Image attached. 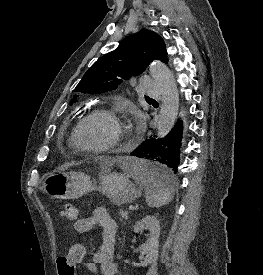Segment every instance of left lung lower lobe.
I'll return each mask as SVG.
<instances>
[{"mask_svg": "<svg viewBox=\"0 0 263 275\" xmlns=\"http://www.w3.org/2000/svg\"><path fill=\"white\" fill-rule=\"evenodd\" d=\"M182 135L183 122L178 120L167 136L161 139H145L130 155L154 162L157 166L150 165V175L169 181L177 173L180 164Z\"/></svg>", "mask_w": 263, "mask_h": 275, "instance_id": "obj_1", "label": "left lung lower lobe"}]
</instances>
